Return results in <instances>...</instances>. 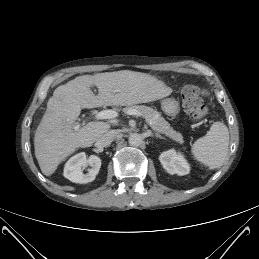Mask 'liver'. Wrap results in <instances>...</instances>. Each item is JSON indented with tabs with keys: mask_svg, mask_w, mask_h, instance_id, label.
Returning <instances> with one entry per match:
<instances>
[{
	"mask_svg": "<svg viewBox=\"0 0 259 259\" xmlns=\"http://www.w3.org/2000/svg\"><path fill=\"white\" fill-rule=\"evenodd\" d=\"M93 85L98 88V95L92 92ZM170 92L155 77L130 70L78 76L57 87L34 137L35 156L42 173L52 175L76 149L91 146L110 129L109 123L91 121L76 130L81 109L132 106L161 99Z\"/></svg>",
	"mask_w": 259,
	"mask_h": 259,
	"instance_id": "1",
	"label": "liver"
}]
</instances>
